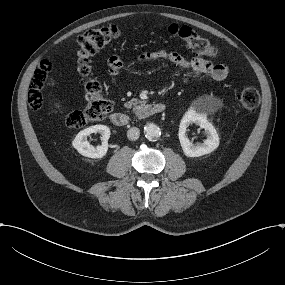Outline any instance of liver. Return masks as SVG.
Returning a JSON list of instances; mask_svg holds the SVG:
<instances>
[{"label":"liver","instance_id":"1","mask_svg":"<svg viewBox=\"0 0 285 285\" xmlns=\"http://www.w3.org/2000/svg\"><path fill=\"white\" fill-rule=\"evenodd\" d=\"M53 107L55 110H62L64 108V105L60 100H56L53 102Z\"/></svg>","mask_w":285,"mask_h":285}]
</instances>
